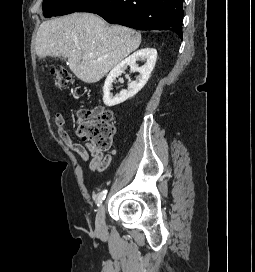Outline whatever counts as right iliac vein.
Listing matches in <instances>:
<instances>
[{
  "instance_id": "right-iliac-vein-1",
  "label": "right iliac vein",
  "mask_w": 255,
  "mask_h": 272,
  "mask_svg": "<svg viewBox=\"0 0 255 272\" xmlns=\"http://www.w3.org/2000/svg\"><path fill=\"white\" fill-rule=\"evenodd\" d=\"M96 230L99 233H103L105 231V207L101 205L98 209V213L96 216Z\"/></svg>"
}]
</instances>
